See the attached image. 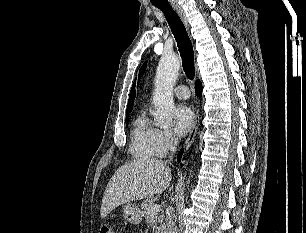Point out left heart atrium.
<instances>
[{
	"label": "left heart atrium",
	"instance_id": "1",
	"mask_svg": "<svg viewBox=\"0 0 306 233\" xmlns=\"http://www.w3.org/2000/svg\"><path fill=\"white\" fill-rule=\"evenodd\" d=\"M194 114L187 105H180L173 112V122L175 132L185 135L194 125Z\"/></svg>",
	"mask_w": 306,
	"mask_h": 233
}]
</instances>
